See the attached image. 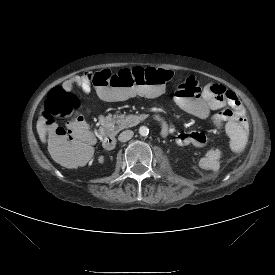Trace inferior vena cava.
<instances>
[{
	"label": "inferior vena cava",
	"instance_id": "inferior-vena-cava-1",
	"mask_svg": "<svg viewBox=\"0 0 275 275\" xmlns=\"http://www.w3.org/2000/svg\"><path fill=\"white\" fill-rule=\"evenodd\" d=\"M133 135H134V132L132 130H125L120 133L118 140L120 142H126L130 140L133 137Z\"/></svg>",
	"mask_w": 275,
	"mask_h": 275
}]
</instances>
